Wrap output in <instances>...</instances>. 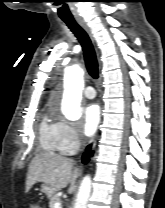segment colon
<instances>
[{"label":"colon","mask_w":165,"mask_h":208,"mask_svg":"<svg viewBox=\"0 0 165 208\" xmlns=\"http://www.w3.org/2000/svg\"><path fill=\"white\" fill-rule=\"evenodd\" d=\"M28 208H42L41 205L36 202V201H33L29 204V207Z\"/></svg>","instance_id":"1"}]
</instances>
